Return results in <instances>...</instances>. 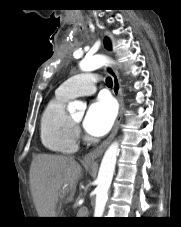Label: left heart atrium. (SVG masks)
I'll return each instance as SVG.
<instances>
[{"label":"left heart atrium","instance_id":"39dd6f15","mask_svg":"<svg viewBox=\"0 0 181 227\" xmlns=\"http://www.w3.org/2000/svg\"><path fill=\"white\" fill-rule=\"evenodd\" d=\"M116 108L109 98L100 97L93 101L83 121L84 129L93 136L106 134L115 119Z\"/></svg>","mask_w":181,"mask_h":227}]
</instances>
